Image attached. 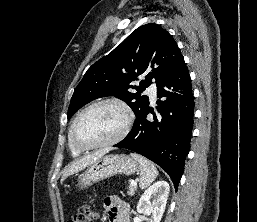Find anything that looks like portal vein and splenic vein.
<instances>
[{
    "instance_id": "portal-vein-and-splenic-vein-1",
    "label": "portal vein and splenic vein",
    "mask_w": 257,
    "mask_h": 222,
    "mask_svg": "<svg viewBox=\"0 0 257 222\" xmlns=\"http://www.w3.org/2000/svg\"><path fill=\"white\" fill-rule=\"evenodd\" d=\"M130 184H131L132 186H136V185H137V182L134 181V180H131V181H130Z\"/></svg>"
}]
</instances>
